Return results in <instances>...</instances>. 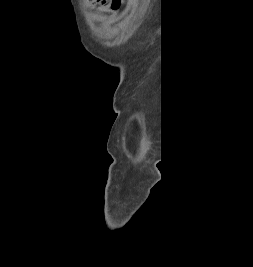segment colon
<instances>
[{"mask_svg": "<svg viewBox=\"0 0 253 267\" xmlns=\"http://www.w3.org/2000/svg\"><path fill=\"white\" fill-rule=\"evenodd\" d=\"M123 0H85V5L88 7H93L96 4H100L105 7L117 10L121 7Z\"/></svg>", "mask_w": 253, "mask_h": 267, "instance_id": "1", "label": "colon"}]
</instances>
